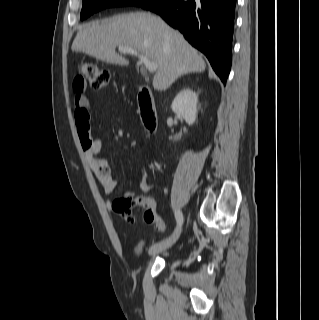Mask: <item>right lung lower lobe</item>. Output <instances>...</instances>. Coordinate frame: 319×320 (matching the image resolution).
I'll use <instances>...</instances> for the list:
<instances>
[{
    "label": "right lung lower lobe",
    "mask_w": 319,
    "mask_h": 320,
    "mask_svg": "<svg viewBox=\"0 0 319 320\" xmlns=\"http://www.w3.org/2000/svg\"><path fill=\"white\" fill-rule=\"evenodd\" d=\"M235 6L236 0H152L140 7L183 33L225 84L232 62Z\"/></svg>",
    "instance_id": "1"
}]
</instances>
